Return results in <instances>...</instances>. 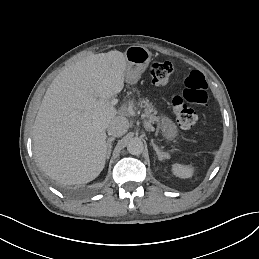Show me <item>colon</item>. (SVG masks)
Here are the masks:
<instances>
[{"mask_svg":"<svg viewBox=\"0 0 259 259\" xmlns=\"http://www.w3.org/2000/svg\"><path fill=\"white\" fill-rule=\"evenodd\" d=\"M149 73L153 84L164 86L171 78L173 65L168 61H156L150 65ZM208 100V85L204 75L200 71H192L185 79L182 95L172 100L173 113L179 126L183 129L193 128L199 116L191 104L206 106Z\"/></svg>","mask_w":259,"mask_h":259,"instance_id":"1","label":"colon"}]
</instances>
